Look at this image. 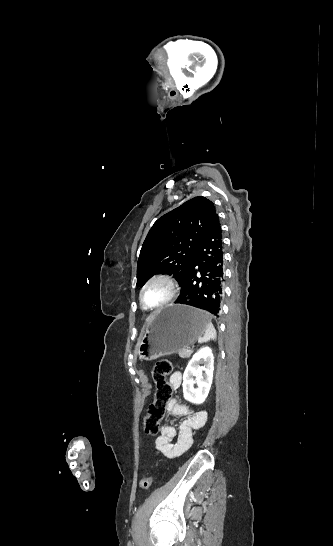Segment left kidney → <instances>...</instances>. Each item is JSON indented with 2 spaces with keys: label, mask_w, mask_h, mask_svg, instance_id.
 I'll list each match as a JSON object with an SVG mask.
<instances>
[{
  "label": "left kidney",
  "mask_w": 333,
  "mask_h": 546,
  "mask_svg": "<svg viewBox=\"0 0 333 546\" xmlns=\"http://www.w3.org/2000/svg\"><path fill=\"white\" fill-rule=\"evenodd\" d=\"M202 364L203 366H200ZM214 356L211 348L202 347L189 361L183 374V395L194 404L205 401L213 379ZM197 383V388L194 384Z\"/></svg>",
  "instance_id": "obj_1"
}]
</instances>
